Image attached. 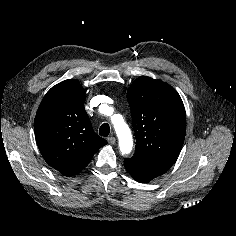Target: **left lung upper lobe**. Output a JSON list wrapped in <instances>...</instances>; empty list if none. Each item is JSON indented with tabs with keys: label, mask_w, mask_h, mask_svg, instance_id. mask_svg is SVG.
Returning a JSON list of instances; mask_svg holds the SVG:
<instances>
[{
	"label": "left lung upper lobe",
	"mask_w": 236,
	"mask_h": 236,
	"mask_svg": "<svg viewBox=\"0 0 236 236\" xmlns=\"http://www.w3.org/2000/svg\"><path fill=\"white\" fill-rule=\"evenodd\" d=\"M127 99L135 131V154L173 165L186 133V114L177 91L147 76L129 87Z\"/></svg>",
	"instance_id": "obj_1"
}]
</instances>
